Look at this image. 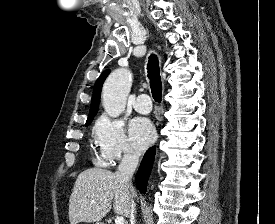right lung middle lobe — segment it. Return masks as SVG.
I'll return each mask as SVG.
<instances>
[{
  "label": "right lung middle lobe",
  "mask_w": 275,
  "mask_h": 224,
  "mask_svg": "<svg viewBox=\"0 0 275 224\" xmlns=\"http://www.w3.org/2000/svg\"><path fill=\"white\" fill-rule=\"evenodd\" d=\"M92 120L86 122V126H88L91 123Z\"/></svg>",
  "instance_id": "right-lung-middle-lobe-1"
}]
</instances>
